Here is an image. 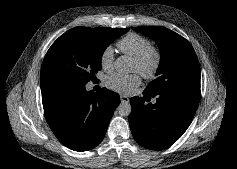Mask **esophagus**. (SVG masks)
<instances>
[{
    "label": "esophagus",
    "instance_id": "1",
    "mask_svg": "<svg viewBox=\"0 0 237 169\" xmlns=\"http://www.w3.org/2000/svg\"><path fill=\"white\" fill-rule=\"evenodd\" d=\"M120 100H121V102H125V103L129 102V98L127 96H124V95H120Z\"/></svg>",
    "mask_w": 237,
    "mask_h": 169
}]
</instances>
